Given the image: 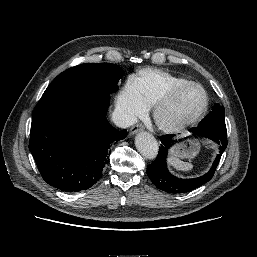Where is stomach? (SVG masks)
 Returning a JSON list of instances; mask_svg holds the SVG:
<instances>
[{"instance_id": "1", "label": "stomach", "mask_w": 257, "mask_h": 257, "mask_svg": "<svg viewBox=\"0 0 257 257\" xmlns=\"http://www.w3.org/2000/svg\"><path fill=\"white\" fill-rule=\"evenodd\" d=\"M200 149L199 142L194 138H187L177 143L172 149V155L185 159L192 158L197 155Z\"/></svg>"}]
</instances>
